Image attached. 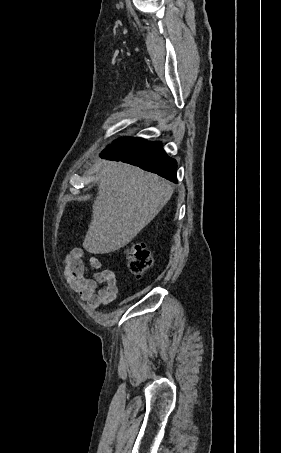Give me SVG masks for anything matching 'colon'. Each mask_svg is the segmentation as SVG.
I'll use <instances>...</instances> for the list:
<instances>
[{
    "instance_id": "1",
    "label": "colon",
    "mask_w": 281,
    "mask_h": 453,
    "mask_svg": "<svg viewBox=\"0 0 281 453\" xmlns=\"http://www.w3.org/2000/svg\"><path fill=\"white\" fill-rule=\"evenodd\" d=\"M125 255L129 269L135 274H144L146 270L155 264V258L150 249L143 242H131L125 247Z\"/></svg>"
}]
</instances>
